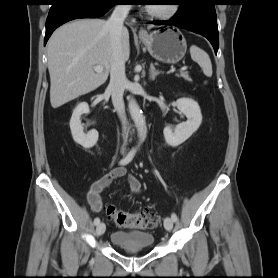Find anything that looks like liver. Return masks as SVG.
Returning <instances> with one entry per match:
<instances>
[{"label":"liver","mask_w":278,"mask_h":278,"mask_svg":"<svg viewBox=\"0 0 278 278\" xmlns=\"http://www.w3.org/2000/svg\"><path fill=\"white\" fill-rule=\"evenodd\" d=\"M124 61L129 59V32L121 35ZM50 102L53 108L94 91L108 78L112 64L110 31L102 19H79L62 25L47 44ZM95 66H102L97 73Z\"/></svg>","instance_id":"6515ba94"}]
</instances>
